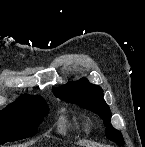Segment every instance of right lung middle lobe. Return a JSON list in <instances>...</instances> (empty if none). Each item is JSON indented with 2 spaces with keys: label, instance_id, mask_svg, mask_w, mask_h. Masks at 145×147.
<instances>
[{
  "label": "right lung middle lobe",
  "instance_id": "obj_1",
  "mask_svg": "<svg viewBox=\"0 0 145 147\" xmlns=\"http://www.w3.org/2000/svg\"><path fill=\"white\" fill-rule=\"evenodd\" d=\"M47 114L48 106L43 98L21 96L0 111V144L34 136Z\"/></svg>",
  "mask_w": 145,
  "mask_h": 147
}]
</instances>
